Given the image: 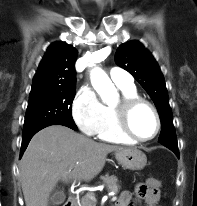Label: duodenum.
Wrapping results in <instances>:
<instances>
[{"mask_svg": "<svg viewBox=\"0 0 197 206\" xmlns=\"http://www.w3.org/2000/svg\"><path fill=\"white\" fill-rule=\"evenodd\" d=\"M64 206H76V198L75 197H70Z\"/></svg>", "mask_w": 197, "mask_h": 206, "instance_id": "obj_1", "label": "duodenum"}]
</instances>
